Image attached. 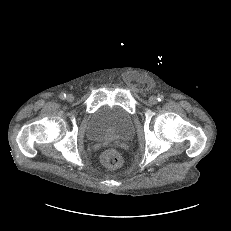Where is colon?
Masks as SVG:
<instances>
[{
    "mask_svg": "<svg viewBox=\"0 0 231 231\" xmlns=\"http://www.w3.org/2000/svg\"><path fill=\"white\" fill-rule=\"evenodd\" d=\"M101 161L109 168H116L121 165L122 157L115 149H107L102 153Z\"/></svg>",
    "mask_w": 231,
    "mask_h": 231,
    "instance_id": "colon-1",
    "label": "colon"
}]
</instances>
